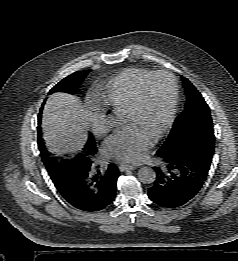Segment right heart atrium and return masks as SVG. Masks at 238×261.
I'll use <instances>...</instances> for the list:
<instances>
[{
  "label": "right heart atrium",
  "mask_w": 238,
  "mask_h": 261,
  "mask_svg": "<svg viewBox=\"0 0 238 261\" xmlns=\"http://www.w3.org/2000/svg\"><path fill=\"white\" fill-rule=\"evenodd\" d=\"M88 115L93 133L98 137L105 136L109 131V125L104 111L97 108H90Z\"/></svg>",
  "instance_id": "obj_1"
}]
</instances>
